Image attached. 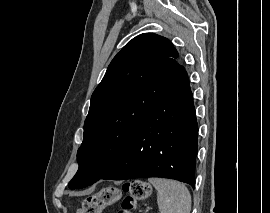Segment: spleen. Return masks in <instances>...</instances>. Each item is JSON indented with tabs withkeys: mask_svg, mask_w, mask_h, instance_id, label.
<instances>
[{
	"mask_svg": "<svg viewBox=\"0 0 270 213\" xmlns=\"http://www.w3.org/2000/svg\"><path fill=\"white\" fill-rule=\"evenodd\" d=\"M148 180L157 190L160 213H190L191 196L184 184L164 178H149Z\"/></svg>",
	"mask_w": 270,
	"mask_h": 213,
	"instance_id": "1",
	"label": "spleen"
}]
</instances>
